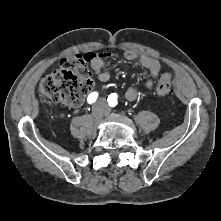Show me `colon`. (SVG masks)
<instances>
[{
  "instance_id": "1",
  "label": "colon",
  "mask_w": 221,
  "mask_h": 221,
  "mask_svg": "<svg viewBox=\"0 0 221 221\" xmlns=\"http://www.w3.org/2000/svg\"><path fill=\"white\" fill-rule=\"evenodd\" d=\"M88 59L80 54L65 57L60 68L44 77L39 84V91L54 102L79 105L93 85ZM172 75H161L156 92L159 96H171Z\"/></svg>"
}]
</instances>
